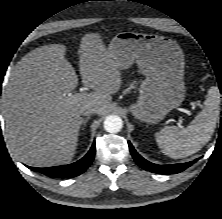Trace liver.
<instances>
[{
  "label": "liver",
  "instance_id": "6515ba94",
  "mask_svg": "<svg viewBox=\"0 0 222 219\" xmlns=\"http://www.w3.org/2000/svg\"><path fill=\"white\" fill-rule=\"evenodd\" d=\"M66 46L50 44L26 54L15 66L3 95L5 132L17 158L35 167L63 165L76 152L83 110L98 106L104 115L122 78L118 62L99 34L81 38L79 69L82 83L93 93L66 96L78 85L65 57Z\"/></svg>",
  "mask_w": 222,
  "mask_h": 219
}]
</instances>
